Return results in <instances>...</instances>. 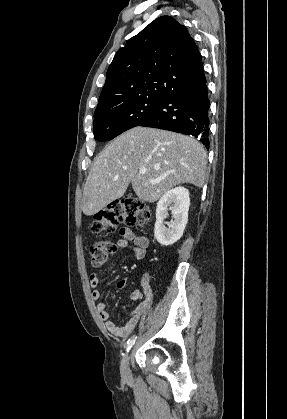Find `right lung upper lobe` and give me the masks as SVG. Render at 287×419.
<instances>
[{"instance_id": "right-lung-upper-lobe-1", "label": "right lung upper lobe", "mask_w": 287, "mask_h": 419, "mask_svg": "<svg viewBox=\"0 0 287 419\" xmlns=\"http://www.w3.org/2000/svg\"><path fill=\"white\" fill-rule=\"evenodd\" d=\"M204 79L202 57L193 38L185 26L162 16L116 53L95 113L136 99H164Z\"/></svg>"}]
</instances>
